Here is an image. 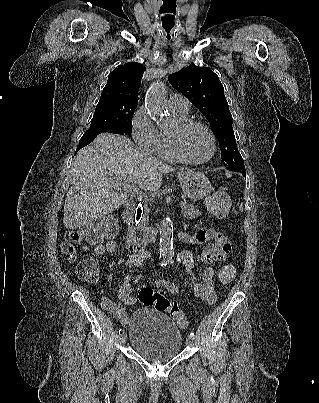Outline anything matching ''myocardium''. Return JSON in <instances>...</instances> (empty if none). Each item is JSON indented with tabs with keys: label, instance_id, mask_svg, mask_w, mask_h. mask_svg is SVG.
<instances>
[{
	"label": "myocardium",
	"instance_id": "f54148a6",
	"mask_svg": "<svg viewBox=\"0 0 319 403\" xmlns=\"http://www.w3.org/2000/svg\"><path fill=\"white\" fill-rule=\"evenodd\" d=\"M192 127L202 128L210 138L211 153L207 158H205L203 160H193V159L189 158L182 150L181 135ZM169 139H170L172 151H173L174 155L176 156V158L187 164H192V165L206 164V163L210 162L216 154L217 144H216V139H215V136H214L212 130L205 123L198 121V120L185 119V120L176 122L174 125V129L172 131H169Z\"/></svg>",
	"mask_w": 319,
	"mask_h": 403
}]
</instances>
